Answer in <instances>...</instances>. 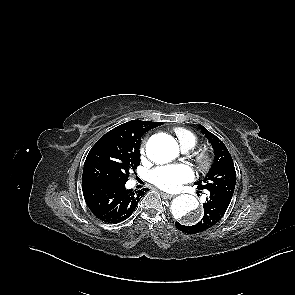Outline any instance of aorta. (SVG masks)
Returning a JSON list of instances; mask_svg holds the SVG:
<instances>
[{
	"mask_svg": "<svg viewBox=\"0 0 295 295\" xmlns=\"http://www.w3.org/2000/svg\"><path fill=\"white\" fill-rule=\"evenodd\" d=\"M146 153L151 161L165 164L179 155V146L172 136L160 133L153 135L148 140ZM198 205L199 203L194 196L183 194L172 201L171 213L176 220L187 224H195L201 218Z\"/></svg>",
	"mask_w": 295,
	"mask_h": 295,
	"instance_id": "1",
	"label": "aorta"
}]
</instances>
